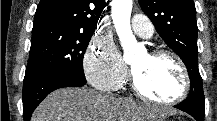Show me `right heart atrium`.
I'll use <instances>...</instances> for the list:
<instances>
[{
	"label": "right heart atrium",
	"mask_w": 217,
	"mask_h": 121,
	"mask_svg": "<svg viewBox=\"0 0 217 121\" xmlns=\"http://www.w3.org/2000/svg\"><path fill=\"white\" fill-rule=\"evenodd\" d=\"M83 67L90 84L102 91L119 89L128 76L112 40L106 36H98L90 43L83 57Z\"/></svg>",
	"instance_id": "obj_1"
}]
</instances>
